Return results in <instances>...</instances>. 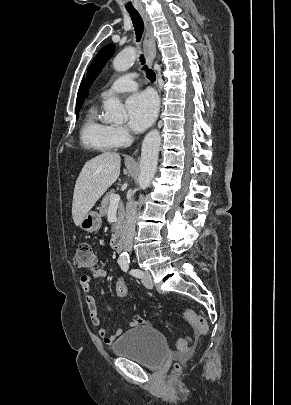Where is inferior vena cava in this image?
Returning <instances> with one entry per match:
<instances>
[{
	"mask_svg": "<svg viewBox=\"0 0 291 405\" xmlns=\"http://www.w3.org/2000/svg\"><path fill=\"white\" fill-rule=\"evenodd\" d=\"M137 214V204L133 198H129L126 204L125 220L122 227V241L125 251L132 250L133 237L135 233V223Z\"/></svg>",
	"mask_w": 291,
	"mask_h": 405,
	"instance_id": "inferior-vena-cava-1",
	"label": "inferior vena cava"
}]
</instances>
